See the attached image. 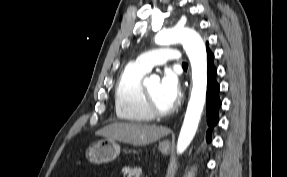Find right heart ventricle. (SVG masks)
I'll return each mask as SVG.
<instances>
[{"label":"right heart ventricle","instance_id":"obj_1","mask_svg":"<svg viewBox=\"0 0 287 177\" xmlns=\"http://www.w3.org/2000/svg\"><path fill=\"white\" fill-rule=\"evenodd\" d=\"M148 71L136 64L124 68L114 90L115 113L127 123H142L152 119L143 97V80Z\"/></svg>","mask_w":287,"mask_h":177}]
</instances>
